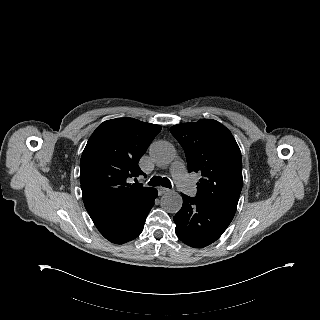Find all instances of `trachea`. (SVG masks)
<instances>
[{"mask_svg":"<svg viewBox=\"0 0 320 320\" xmlns=\"http://www.w3.org/2000/svg\"><path fill=\"white\" fill-rule=\"evenodd\" d=\"M151 186H163L167 188H171V182L168 178L166 177H160V176H154L148 183Z\"/></svg>","mask_w":320,"mask_h":320,"instance_id":"trachea-1","label":"trachea"}]
</instances>
